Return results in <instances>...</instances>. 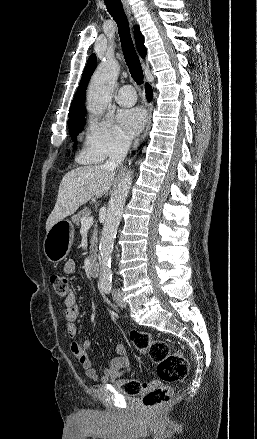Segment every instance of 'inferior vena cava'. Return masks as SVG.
<instances>
[{
	"label": "inferior vena cava",
	"instance_id": "1",
	"mask_svg": "<svg viewBox=\"0 0 257 439\" xmlns=\"http://www.w3.org/2000/svg\"><path fill=\"white\" fill-rule=\"evenodd\" d=\"M131 145V140L127 137L118 138L113 144L109 153V159L105 163V168L115 169L125 159Z\"/></svg>",
	"mask_w": 257,
	"mask_h": 439
}]
</instances>
